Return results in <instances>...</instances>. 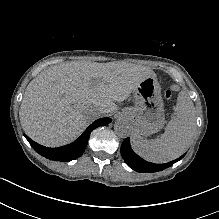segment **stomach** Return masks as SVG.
Wrapping results in <instances>:
<instances>
[{
	"mask_svg": "<svg viewBox=\"0 0 219 219\" xmlns=\"http://www.w3.org/2000/svg\"><path fill=\"white\" fill-rule=\"evenodd\" d=\"M135 105L123 113L131 120L135 131L149 136L160 131L165 124L161 87L155 77L145 78L134 92Z\"/></svg>",
	"mask_w": 219,
	"mask_h": 219,
	"instance_id": "1",
	"label": "stomach"
}]
</instances>
